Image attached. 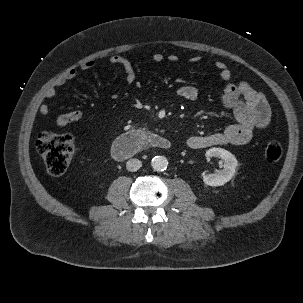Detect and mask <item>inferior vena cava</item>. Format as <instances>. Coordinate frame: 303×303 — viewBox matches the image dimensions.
Listing matches in <instances>:
<instances>
[{"instance_id":"obj_1","label":"inferior vena cava","mask_w":303,"mask_h":303,"mask_svg":"<svg viewBox=\"0 0 303 303\" xmlns=\"http://www.w3.org/2000/svg\"><path fill=\"white\" fill-rule=\"evenodd\" d=\"M141 166H142L141 161L135 158L128 160L126 163L127 170L131 172H135L139 170Z\"/></svg>"}]
</instances>
